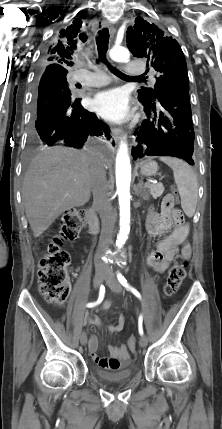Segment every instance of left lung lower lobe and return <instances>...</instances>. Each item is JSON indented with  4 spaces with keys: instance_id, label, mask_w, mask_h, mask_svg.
<instances>
[{
    "instance_id": "1",
    "label": "left lung lower lobe",
    "mask_w": 222,
    "mask_h": 429,
    "mask_svg": "<svg viewBox=\"0 0 222 429\" xmlns=\"http://www.w3.org/2000/svg\"><path fill=\"white\" fill-rule=\"evenodd\" d=\"M142 101L147 119L135 131L138 145L132 148L133 158L172 156L193 165L195 135L189 89L168 83L155 101Z\"/></svg>"
}]
</instances>
